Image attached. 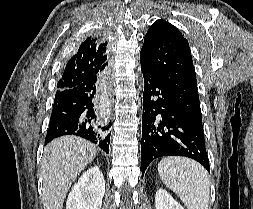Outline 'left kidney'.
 <instances>
[{"label":"left kidney","instance_id":"1","mask_svg":"<svg viewBox=\"0 0 253 209\" xmlns=\"http://www.w3.org/2000/svg\"><path fill=\"white\" fill-rule=\"evenodd\" d=\"M156 209H184L174 198L164 189H159L155 195Z\"/></svg>","mask_w":253,"mask_h":209}]
</instances>
